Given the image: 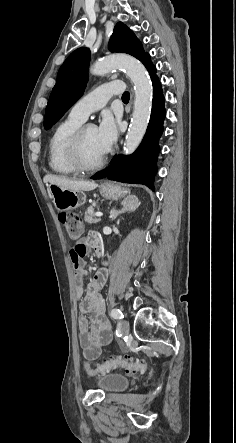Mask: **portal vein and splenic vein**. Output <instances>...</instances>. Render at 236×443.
<instances>
[{
	"instance_id": "1",
	"label": "portal vein and splenic vein",
	"mask_w": 236,
	"mask_h": 443,
	"mask_svg": "<svg viewBox=\"0 0 236 443\" xmlns=\"http://www.w3.org/2000/svg\"><path fill=\"white\" fill-rule=\"evenodd\" d=\"M95 216H96V217H101V216H103V213H101V212H97V213H95Z\"/></svg>"
}]
</instances>
